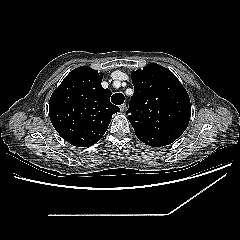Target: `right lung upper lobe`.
Returning <instances> with one entry per match:
<instances>
[{
	"label": "right lung upper lobe",
	"mask_w": 240,
	"mask_h": 240,
	"mask_svg": "<svg viewBox=\"0 0 240 240\" xmlns=\"http://www.w3.org/2000/svg\"><path fill=\"white\" fill-rule=\"evenodd\" d=\"M103 74L87 66L71 71L49 101L52 125L60 136L76 147H89L102 138L113 113L111 90L101 85Z\"/></svg>",
	"instance_id": "right-lung-upper-lobe-1"
}]
</instances>
